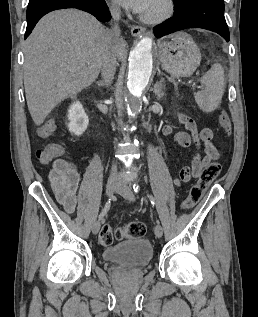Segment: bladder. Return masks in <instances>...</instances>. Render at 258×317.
Instances as JSON below:
<instances>
[{
	"label": "bladder",
	"mask_w": 258,
	"mask_h": 317,
	"mask_svg": "<svg viewBox=\"0 0 258 317\" xmlns=\"http://www.w3.org/2000/svg\"><path fill=\"white\" fill-rule=\"evenodd\" d=\"M153 250L149 241L145 239H133L106 248L103 259L110 263L125 264L133 267L147 265L152 259Z\"/></svg>",
	"instance_id": "1"
}]
</instances>
